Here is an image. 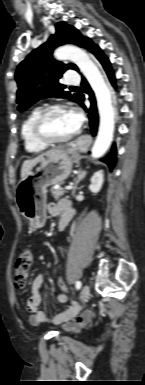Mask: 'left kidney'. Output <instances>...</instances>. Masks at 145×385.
<instances>
[{
    "instance_id": "left-kidney-1",
    "label": "left kidney",
    "mask_w": 145,
    "mask_h": 385,
    "mask_svg": "<svg viewBox=\"0 0 145 385\" xmlns=\"http://www.w3.org/2000/svg\"><path fill=\"white\" fill-rule=\"evenodd\" d=\"M91 184L89 186V189L93 193H98L100 189L102 188L103 182H104V174L102 170H99L94 173V175L91 177Z\"/></svg>"
}]
</instances>
